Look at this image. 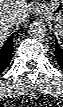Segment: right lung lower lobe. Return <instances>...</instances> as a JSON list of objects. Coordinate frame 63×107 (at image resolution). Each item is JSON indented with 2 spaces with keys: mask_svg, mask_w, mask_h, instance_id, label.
<instances>
[{
  "mask_svg": "<svg viewBox=\"0 0 63 107\" xmlns=\"http://www.w3.org/2000/svg\"><path fill=\"white\" fill-rule=\"evenodd\" d=\"M13 36L14 33L7 39L5 44L0 48V73H2L12 58L13 53Z\"/></svg>",
  "mask_w": 63,
  "mask_h": 107,
  "instance_id": "obj_1",
  "label": "right lung lower lobe"
}]
</instances>
